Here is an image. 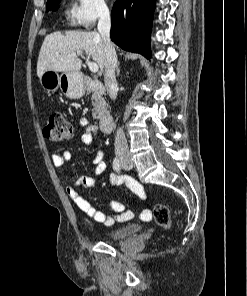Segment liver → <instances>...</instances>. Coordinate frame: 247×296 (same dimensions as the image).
Returning a JSON list of instances; mask_svg holds the SVG:
<instances>
[{"instance_id": "6515ba94", "label": "liver", "mask_w": 247, "mask_h": 296, "mask_svg": "<svg viewBox=\"0 0 247 296\" xmlns=\"http://www.w3.org/2000/svg\"><path fill=\"white\" fill-rule=\"evenodd\" d=\"M85 52L104 70L105 53L101 35L96 31H66L48 34L41 46L37 75L40 77L45 71L77 73L82 67V60L76 54Z\"/></svg>"}]
</instances>
